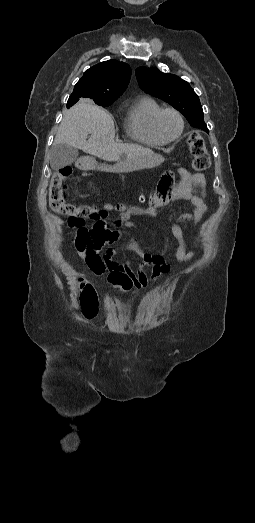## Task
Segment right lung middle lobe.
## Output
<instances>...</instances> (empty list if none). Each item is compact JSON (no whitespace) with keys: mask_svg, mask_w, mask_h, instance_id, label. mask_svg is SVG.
Returning a JSON list of instances; mask_svg holds the SVG:
<instances>
[{"mask_svg":"<svg viewBox=\"0 0 255 523\" xmlns=\"http://www.w3.org/2000/svg\"><path fill=\"white\" fill-rule=\"evenodd\" d=\"M113 102H100V103H96L97 105L99 106H102V107H108L112 104Z\"/></svg>","mask_w":255,"mask_h":523,"instance_id":"obj_1","label":"right lung middle lobe"}]
</instances>
